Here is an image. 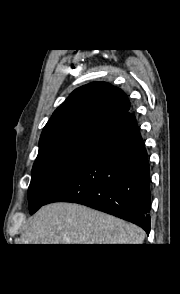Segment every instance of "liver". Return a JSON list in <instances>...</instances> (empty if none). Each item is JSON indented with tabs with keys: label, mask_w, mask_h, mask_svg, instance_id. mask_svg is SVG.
I'll return each mask as SVG.
<instances>
[{
	"label": "liver",
	"mask_w": 180,
	"mask_h": 294,
	"mask_svg": "<svg viewBox=\"0 0 180 294\" xmlns=\"http://www.w3.org/2000/svg\"><path fill=\"white\" fill-rule=\"evenodd\" d=\"M144 231L131 223L74 203L42 207L19 244H142Z\"/></svg>",
	"instance_id": "liver-1"
}]
</instances>
